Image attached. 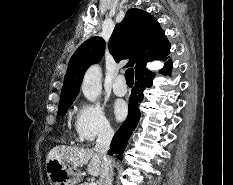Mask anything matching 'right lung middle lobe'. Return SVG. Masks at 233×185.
<instances>
[{"mask_svg":"<svg viewBox=\"0 0 233 185\" xmlns=\"http://www.w3.org/2000/svg\"><path fill=\"white\" fill-rule=\"evenodd\" d=\"M73 100L71 101H65L60 102L59 108H58V115L64 116L70 105L72 104Z\"/></svg>","mask_w":233,"mask_h":185,"instance_id":"right-lung-middle-lobe-1","label":"right lung middle lobe"}]
</instances>
